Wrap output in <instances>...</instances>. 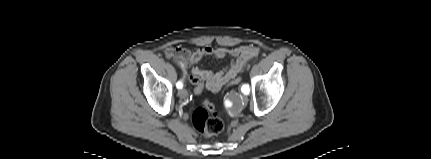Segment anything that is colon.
Masks as SVG:
<instances>
[{"mask_svg":"<svg viewBox=\"0 0 431 159\" xmlns=\"http://www.w3.org/2000/svg\"><path fill=\"white\" fill-rule=\"evenodd\" d=\"M189 83L196 86L194 90L195 96H200L204 89V80L201 77L187 76ZM244 79V76L237 75V78L227 83V86L239 83ZM215 105L211 100H204L201 107L194 110L192 114V123L195 129L205 136H214L219 134L223 128L224 123L220 116L214 110Z\"/></svg>","mask_w":431,"mask_h":159,"instance_id":"colon-1","label":"colon"}]
</instances>
